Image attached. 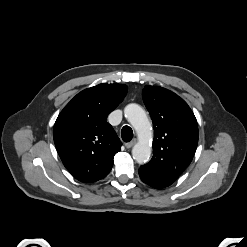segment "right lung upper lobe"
Here are the masks:
<instances>
[{
    "label": "right lung upper lobe",
    "instance_id": "cb5924a9",
    "mask_svg": "<svg viewBox=\"0 0 247 247\" xmlns=\"http://www.w3.org/2000/svg\"><path fill=\"white\" fill-rule=\"evenodd\" d=\"M127 86L99 84L78 93L54 125V143L67 170L85 183L108 175L121 141L106 118L124 99Z\"/></svg>",
    "mask_w": 247,
    "mask_h": 247
}]
</instances>
